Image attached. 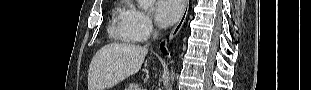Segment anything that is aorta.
<instances>
[{"label":"aorta","instance_id":"762f6f07","mask_svg":"<svg viewBox=\"0 0 311 90\" xmlns=\"http://www.w3.org/2000/svg\"><path fill=\"white\" fill-rule=\"evenodd\" d=\"M138 3L141 9L148 10L155 3V0H138ZM170 79H171V85L168 89L172 90V85L175 79V72L173 71L172 68L170 72Z\"/></svg>","mask_w":311,"mask_h":90}]
</instances>
